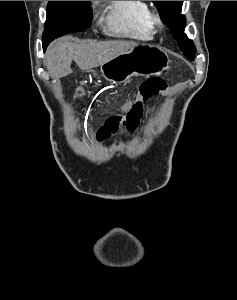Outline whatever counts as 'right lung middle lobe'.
Returning <instances> with one entry per match:
<instances>
[{"label": "right lung middle lobe", "mask_w": 237, "mask_h": 300, "mask_svg": "<svg viewBox=\"0 0 237 300\" xmlns=\"http://www.w3.org/2000/svg\"><path fill=\"white\" fill-rule=\"evenodd\" d=\"M42 36L44 49L65 34L84 31L91 25L90 1H49Z\"/></svg>", "instance_id": "obj_1"}]
</instances>
